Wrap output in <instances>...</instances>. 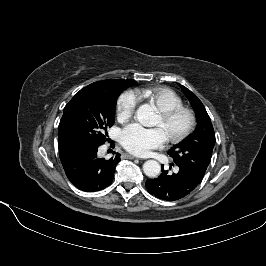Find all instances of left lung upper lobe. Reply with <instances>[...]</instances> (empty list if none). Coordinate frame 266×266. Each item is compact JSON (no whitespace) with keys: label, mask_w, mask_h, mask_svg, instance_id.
Masks as SVG:
<instances>
[{"label":"left lung upper lobe","mask_w":266,"mask_h":266,"mask_svg":"<svg viewBox=\"0 0 266 266\" xmlns=\"http://www.w3.org/2000/svg\"><path fill=\"white\" fill-rule=\"evenodd\" d=\"M189 99L197 118L194 134L168 151L177 166L187 169L197 179L202 180L211 161L215 145V133L210 117L197 96L185 86H181Z\"/></svg>","instance_id":"1"}]
</instances>
